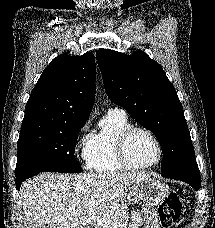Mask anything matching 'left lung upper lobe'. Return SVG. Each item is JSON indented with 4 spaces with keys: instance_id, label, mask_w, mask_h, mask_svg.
I'll list each match as a JSON object with an SVG mask.
<instances>
[{
    "instance_id": "5c2ea615",
    "label": "left lung upper lobe",
    "mask_w": 215,
    "mask_h": 228,
    "mask_svg": "<svg viewBox=\"0 0 215 228\" xmlns=\"http://www.w3.org/2000/svg\"><path fill=\"white\" fill-rule=\"evenodd\" d=\"M96 58L110 100L157 137L161 173L195 161L182 104L162 67L141 50L125 55L99 49Z\"/></svg>"
}]
</instances>
